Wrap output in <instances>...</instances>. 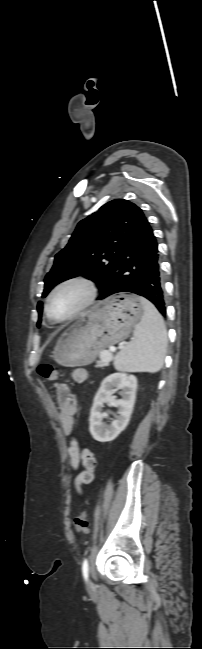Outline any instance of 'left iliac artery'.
Wrapping results in <instances>:
<instances>
[{
    "mask_svg": "<svg viewBox=\"0 0 202 649\" xmlns=\"http://www.w3.org/2000/svg\"><path fill=\"white\" fill-rule=\"evenodd\" d=\"M82 573L83 577L85 580L88 579V573H89V565H88V560L85 558L83 563H82Z\"/></svg>",
    "mask_w": 202,
    "mask_h": 649,
    "instance_id": "1",
    "label": "left iliac artery"
}]
</instances>
